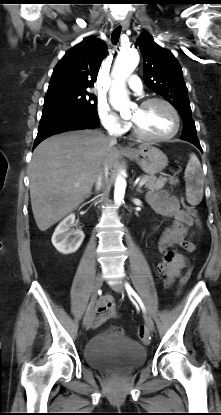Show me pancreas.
Wrapping results in <instances>:
<instances>
[{
    "label": "pancreas",
    "instance_id": "cf45deb5",
    "mask_svg": "<svg viewBox=\"0 0 221 415\" xmlns=\"http://www.w3.org/2000/svg\"><path fill=\"white\" fill-rule=\"evenodd\" d=\"M142 179H146L145 188L152 191L162 189L168 181L166 177L156 178L155 176H144Z\"/></svg>",
    "mask_w": 221,
    "mask_h": 415
}]
</instances>
